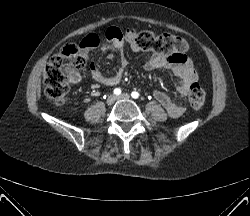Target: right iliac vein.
<instances>
[{"label": "right iliac vein", "instance_id": "63e3f726", "mask_svg": "<svg viewBox=\"0 0 250 216\" xmlns=\"http://www.w3.org/2000/svg\"><path fill=\"white\" fill-rule=\"evenodd\" d=\"M115 101H116V96L111 94V95L108 96V98L106 100V103L108 105H112V104H114Z\"/></svg>", "mask_w": 250, "mask_h": 216}]
</instances>
